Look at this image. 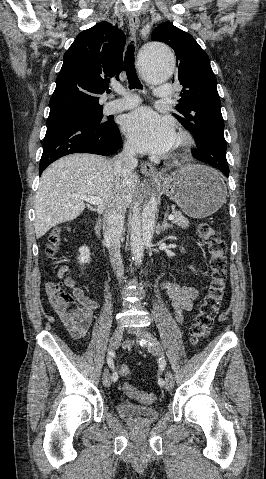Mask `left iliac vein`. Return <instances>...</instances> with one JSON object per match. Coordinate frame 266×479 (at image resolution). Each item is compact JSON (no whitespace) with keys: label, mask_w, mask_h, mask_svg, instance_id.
<instances>
[{"label":"left iliac vein","mask_w":266,"mask_h":479,"mask_svg":"<svg viewBox=\"0 0 266 479\" xmlns=\"http://www.w3.org/2000/svg\"><path fill=\"white\" fill-rule=\"evenodd\" d=\"M129 331L133 333L134 335H136L137 337L143 338L147 341V348L150 353H152L153 355L163 354V348L161 343L149 331L140 329V328L130 329ZM173 387H174V376L170 371H168L165 377V388L167 390H171Z\"/></svg>","instance_id":"4c4485c4"}]
</instances>
